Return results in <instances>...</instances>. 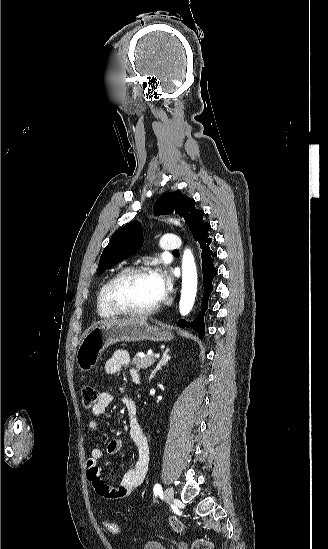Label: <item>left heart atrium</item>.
I'll return each mask as SVG.
<instances>
[{
	"label": "left heart atrium",
	"instance_id": "1",
	"mask_svg": "<svg viewBox=\"0 0 328 549\" xmlns=\"http://www.w3.org/2000/svg\"><path fill=\"white\" fill-rule=\"evenodd\" d=\"M155 283L160 298H164L172 289L173 282L167 270H156L154 272Z\"/></svg>",
	"mask_w": 328,
	"mask_h": 549
}]
</instances>
